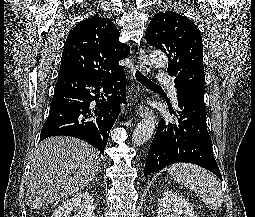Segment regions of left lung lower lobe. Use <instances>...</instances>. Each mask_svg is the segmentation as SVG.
I'll use <instances>...</instances> for the list:
<instances>
[{"instance_id":"obj_1","label":"left lung lower lobe","mask_w":255,"mask_h":217,"mask_svg":"<svg viewBox=\"0 0 255 217\" xmlns=\"http://www.w3.org/2000/svg\"><path fill=\"white\" fill-rule=\"evenodd\" d=\"M178 123L158 124L146 159L144 175L178 162L201 166L222 180L207 131L204 97L178 89Z\"/></svg>"}]
</instances>
